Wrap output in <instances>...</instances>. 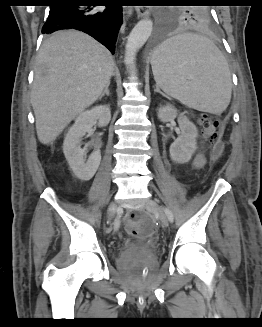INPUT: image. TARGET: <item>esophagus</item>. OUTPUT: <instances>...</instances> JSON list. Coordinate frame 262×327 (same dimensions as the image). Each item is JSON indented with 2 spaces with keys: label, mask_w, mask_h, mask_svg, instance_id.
Segmentation results:
<instances>
[{
  "label": "esophagus",
  "mask_w": 262,
  "mask_h": 327,
  "mask_svg": "<svg viewBox=\"0 0 262 327\" xmlns=\"http://www.w3.org/2000/svg\"><path fill=\"white\" fill-rule=\"evenodd\" d=\"M138 18L148 17L151 13L149 8L137 7L136 8Z\"/></svg>",
  "instance_id": "34e87169"
}]
</instances>
